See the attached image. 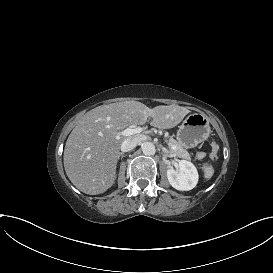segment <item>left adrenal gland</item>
Instances as JSON below:
<instances>
[{"label":"left adrenal gland","mask_w":273,"mask_h":273,"mask_svg":"<svg viewBox=\"0 0 273 273\" xmlns=\"http://www.w3.org/2000/svg\"><path fill=\"white\" fill-rule=\"evenodd\" d=\"M162 151H163V153H169V151L167 149H165L164 147H162Z\"/></svg>","instance_id":"obj_1"}]
</instances>
